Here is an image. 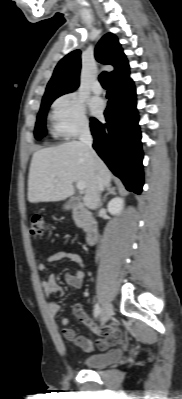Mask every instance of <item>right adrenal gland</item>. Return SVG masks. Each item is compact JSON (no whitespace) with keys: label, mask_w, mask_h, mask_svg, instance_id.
<instances>
[{"label":"right adrenal gland","mask_w":182,"mask_h":399,"mask_svg":"<svg viewBox=\"0 0 182 399\" xmlns=\"http://www.w3.org/2000/svg\"><path fill=\"white\" fill-rule=\"evenodd\" d=\"M109 194L116 195L115 187H112L111 185L108 186V188H107V193H106V194L104 195V197H103V202L106 200V197H107Z\"/></svg>","instance_id":"1"}]
</instances>
